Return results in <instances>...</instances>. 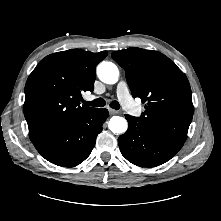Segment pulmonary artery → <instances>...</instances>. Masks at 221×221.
Masks as SVG:
<instances>
[{"instance_id": "obj_1", "label": "pulmonary artery", "mask_w": 221, "mask_h": 221, "mask_svg": "<svg viewBox=\"0 0 221 221\" xmlns=\"http://www.w3.org/2000/svg\"><path fill=\"white\" fill-rule=\"evenodd\" d=\"M116 93L123 107L132 112L133 100L130 96L129 89L125 81L121 80L118 82Z\"/></svg>"}]
</instances>
